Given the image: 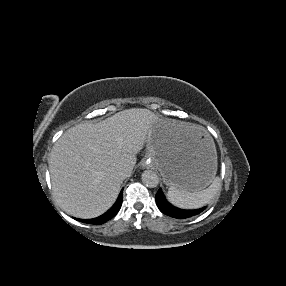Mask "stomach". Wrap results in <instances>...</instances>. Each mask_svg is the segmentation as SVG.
<instances>
[{
	"mask_svg": "<svg viewBox=\"0 0 286 286\" xmlns=\"http://www.w3.org/2000/svg\"><path fill=\"white\" fill-rule=\"evenodd\" d=\"M147 158L168 186L195 192L217 172V152L208 132L186 122L158 121L147 132Z\"/></svg>",
	"mask_w": 286,
	"mask_h": 286,
	"instance_id": "1",
	"label": "stomach"
}]
</instances>
